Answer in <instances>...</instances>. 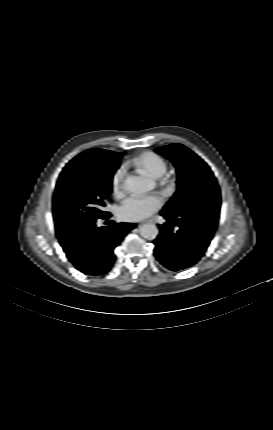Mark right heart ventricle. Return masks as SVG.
Segmentation results:
<instances>
[{"mask_svg":"<svg viewBox=\"0 0 273 430\" xmlns=\"http://www.w3.org/2000/svg\"><path fill=\"white\" fill-rule=\"evenodd\" d=\"M130 164L153 178L161 177L167 171V162L153 151H144L134 157Z\"/></svg>","mask_w":273,"mask_h":430,"instance_id":"right-heart-ventricle-1","label":"right heart ventricle"}]
</instances>
